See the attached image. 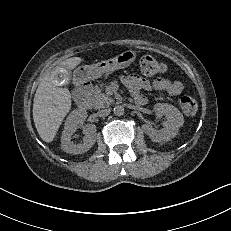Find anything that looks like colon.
Listing matches in <instances>:
<instances>
[{"label": "colon", "instance_id": "colon-1", "mask_svg": "<svg viewBox=\"0 0 231 231\" xmlns=\"http://www.w3.org/2000/svg\"><path fill=\"white\" fill-rule=\"evenodd\" d=\"M140 70L145 76L155 77L165 73L166 66L153 56L147 55L140 60ZM180 106L187 115H194L198 108L196 100L190 96H183Z\"/></svg>", "mask_w": 231, "mask_h": 231}]
</instances>
